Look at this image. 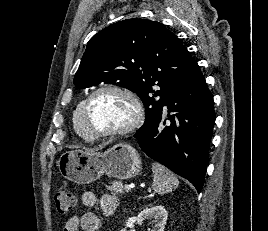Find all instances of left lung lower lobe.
Here are the masks:
<instances>
[{"mask_svg": "<svg viewBox=\"0 0 268 231\" xmlns=\"http://www.w3.org/2000/svg\"><path fill=\"white\" fill-rule=\"evenodd\" d=\"M214 123L213 96L196 63L170 89L155 123L134 137L150 158L189 180L200 192Z\"/></svg>", "mask_w": 268, "mask_h": 231, "instance_id": "left-lung-lower-lobe-1", "label": "left lung lower lobe"}]
</instances>
